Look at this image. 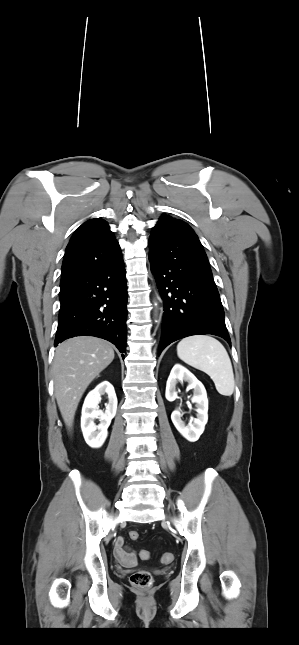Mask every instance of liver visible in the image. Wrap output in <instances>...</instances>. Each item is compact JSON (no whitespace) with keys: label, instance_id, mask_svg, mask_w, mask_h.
Masks as SVG:
<instances>
[{"label":"liver","instance_id":"6515ba94","mask_svg":"<svg viewBox=\"0 0 299 645\" xmlns=\"http://www.w3.org/2000/svg\"><path fill=\"white\" fill-rule=\"evenodd\" d=\"M113 359L112 346L92 336L74 337L57 346L53 362L54 390L69 430L86 388Z\"/></svg>","mask_w":299,"mask_h":645}]
</instances>
